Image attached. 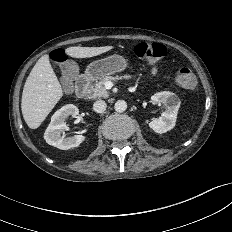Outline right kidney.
I'll return each instance as SVG.
<instances>
[{
  "instance_id": "ca27d5eb",
  "label": "right kidney",
  "mask_w": 232,
  "mask_h": 232,
  "mask_svg": "<svg viewBox=\"0 0 232 232\" xmlns=\"http://www.w3.org/2000/svg\"><path fill=\"white\" fill-rule=\"evenodd\" d=\"M79 114V109L73 104H67L57 110L51 118V122L44 133V139L49 145L61 150H68L78 147L84 140L85 136L75 135L65 138L61 134L68 130L65 119L69 116L75 117Z\"/></svg>"
}]
</instances>
